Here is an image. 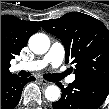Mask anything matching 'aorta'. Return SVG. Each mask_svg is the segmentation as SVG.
Instances as JSON below:
<instances>
[{
	"label": "aorta",
	"instance_id": "762f6f07",
	"mask_svg": "<svg viewBox=\"0 0 109 109\" xmlns=\"http://www.w3.org/2000/svg\"><path fill=\"white\" fill-rule=\"evenodd\" d=\"M28 45L31 51L35 54H45L49 50L50 40L47 35L36 33L30 37ZM60 96V88L56 85H50L45 90V97L49 101L55 102Z\"/></svg>",
	"mask_w": 109,
	"mask_h": 109
}]
</instances>
